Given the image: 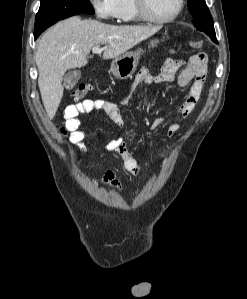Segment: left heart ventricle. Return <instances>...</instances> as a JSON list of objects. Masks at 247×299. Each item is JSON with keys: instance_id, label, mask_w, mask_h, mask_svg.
I'll list each match as a JSON object with an SVG mask.
<instances>
[{"instance_id": "left-heart-ventricle-1", "label": "left heart ventricle", "mask_w": 247, "mask_h": 299, "mask_svg": "<svg viewBox=\"0 0 247 299\" xmlns=\"http://www.w3.org/2000/svg\"><path fill=\"white\" fill-rule=\"evenodd\" d=\"M178 0H146L147 10L156 18H167L177 8Z\"/></svg>"}]
</instances>
